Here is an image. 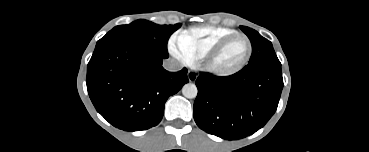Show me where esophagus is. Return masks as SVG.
<instances>
[{
  "label": "esophagus",
  "instance_id": "34e87169",
  "mask_svg": "<svg viewBox=\"0 0 369 152\" xmlns=\"http://www.w3.org/2000/svg\"><path fill=\"white\" fill-rule=\"evenodd\" d=\"M187 77L190 82H194L197 79L198 74L195 71L189 70L187 73Z\"/></svg>",
  "mask_w": 369,
  "mask_h": 152
}]
</instances>
